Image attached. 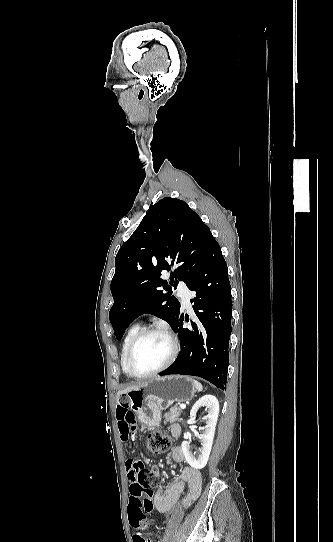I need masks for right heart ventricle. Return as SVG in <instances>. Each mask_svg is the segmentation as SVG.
<instances>
[{"label":"right heart ventricle","mask_w":333,"mask_h":542,"mask_svg":"<svg viewBox=\"0 0 333 542\" xmlns=\"http://www.w3.org/2000/svg\"><path fill=\"white\" fill-rule=\"evenodd\" d=\"M141 329H142V326L140 324H135L131 326L130 329L127 331L123 340L122 349H121V357H120V365H121L122 371L126 375H128L127 370H126V356H127L128 348L132 340L136 337V335L140 332Z\"/></svg>","instance_id":"1"}]
</instances>
